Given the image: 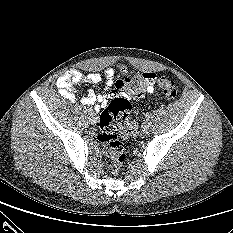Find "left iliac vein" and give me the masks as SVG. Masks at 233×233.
Returning <instances> with one entry per match:
<instances>
[{
	"label": "left iliac vein",
	"mask_w": 233,
	"mask_h": 233,
	"mask_svg": "<svg viewBox=\"0 0 233 233\" xmlns=\"http://www.w3.org/2000/svg\"><path fill=\"white\" fill-rule=\"evenodd\" d=\"M150 126H151V123L148 120H146L142 125V131L144 133H148L150 130Z\"/></svg>",
	"instance_id": "obj_1"
}]
</instances>
